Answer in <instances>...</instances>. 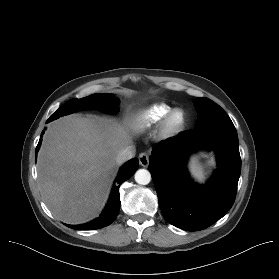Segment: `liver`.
<instances>
[{"instance_id":"6515ba94","label":"liver","mask_w":279,"mask_h":279,"mask_svg":"<svg viewBox=\"0 0 279 279\" xmlns=\"http://www.w3.org/2000/svg\"><path fill=\"white\" fill-rule=\"evenodd\" d=\"M135 129V123L129 125ZM127 127L104 117L69 115L51 122L38 154V180L52 214L88 222L104 207L118 171L116 156L130 146Z\"/></svg>"}]
</instances>
